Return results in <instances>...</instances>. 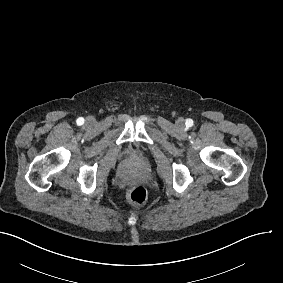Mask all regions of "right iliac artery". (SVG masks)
<instances>
[{
	"instance_id": "82829eb1",
	"label": "right iliac artery",
	"mask_w": 283,
	"mask_h": 283,
	"mask_svg": "<svg viewBox=\"0 0 283 283\" xmlns=\"http://www.w3.org/2000/svg\"><path fill=\"white\" fill-rule=\"evenodd\" d=\"M76 122H77V125H82V124H84V118L80 117V118L77 119Z\"/></svg>"
}]
</instances>
